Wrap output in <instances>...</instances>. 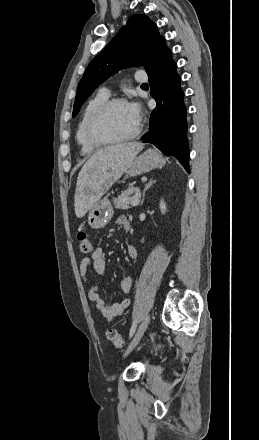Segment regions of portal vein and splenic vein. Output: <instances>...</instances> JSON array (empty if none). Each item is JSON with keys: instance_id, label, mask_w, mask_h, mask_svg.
<instances>
[{"instance_id": "portal-vein-and-splenic-vein-1", "label": "portal vein and splenic vein", "mask_w": 259, "mask_h": 440, "mask_svg": "<svg viewBox=\"0 0 259 440\" xmlns=\"http://www.w3.org/2000/svg\"><path fill=\"white\" fill-rule=\"evenodd\" d=\"M139 202H140L139 194L136 193V199H134V200L131 202V205H132V206H137V205L139 204Z\"/></svg>"}]
</instances>
